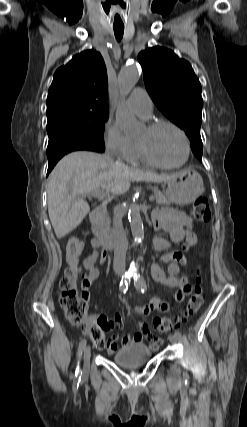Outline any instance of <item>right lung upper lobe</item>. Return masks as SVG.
Listing matches in <instances>:
<instances>
[{
  "label": "right lung upper lobe",
  "instance_id": "1",
  "mask_svg": "<svg viewBox=\"0 0 247 427\" xmlns=\"http://www.w3.org/2000/svg\"><path fill=\"white\" fill-rule=\"evenodd\" d=\"M68 107L108 108L107 71L100 53L83 51L55 72L47 114Z\"/></svg>",
  "mask_w": 247,
  "mask_h": 427
}]
</instances>
